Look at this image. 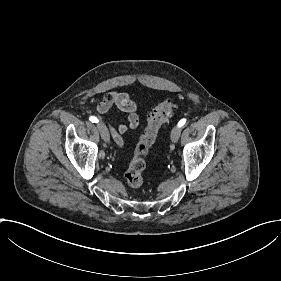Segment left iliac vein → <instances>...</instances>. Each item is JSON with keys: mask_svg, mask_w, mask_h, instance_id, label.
<instances>
[{"mask_svg": "<svg viewBox=\"0 0 281 281\" xmlns=\"http://www.w3.org/2000/svg\"><path fill=\"white\" fill-rule=\"evenodd\" d=\"M180 132L181 128L178 126H174L173 129L171 130V142H175L176 144L178 143V138L180 137Z\"/></svg>", "mask_w": 281, "mask_h": 281, "instance_id": "4c4485c4", "label": "left iliac vein"}]
</instances>
